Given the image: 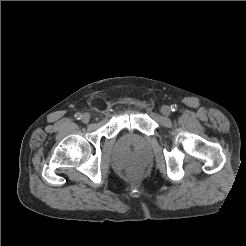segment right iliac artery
<instances>
[{
	"label": "right iliac artery",
	"mask_w": 246,
	"mask_h": 246,
	"mask_svg": "<svg viewBox=\"0 0 246 246\" xmlns=\"http://www.w3.org/2000/svg\"><path fill=\"white\" fill-rule=\"evenodd\" d=\"M75 118H76L77 120H80V119L82 118V114H81V113H76V114H75Z\"/></svg>",
	"instance_id": "82829eb1"
}]
</instances>
